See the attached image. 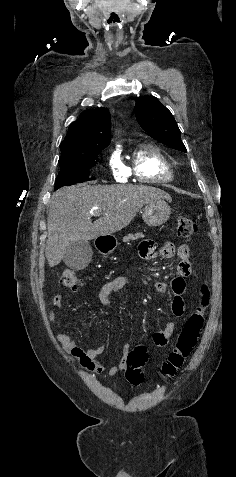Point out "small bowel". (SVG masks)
<instances>
[{
    "label": "small bowel",
    "instance_id": "small-bowel-1",
    "mask_svg": "<svg viewBox=\"0 0 236 477\" xmlns=\"http://www.w3.org/2000/svg\"><path fill=\"white\" fill-rule=\"evenodd\" d=\"M175 255H177L179 259V264L177 268L178 274L171 282V289L173 293L171 309L175 317H182L185 312V303L183 299V295L185 293L184 277L188 276L192 270L189 247L183 244L176 249L173 243L166 242L161 247L157 248L155 243L150 240H145L140 245V256L144 259H153L156 257L170 259ZM128 282L129 280L126 276H117L108 280L103 285L99 293V300L101 304L104 306L111 305L113 296L122 290L128 284ZM153 288L160 296H166L168 287L165 282L156 280L153 282ZM62 301V297L59 294L55 295L52 299V303L55 307H61ZM48 317L51 322L55 321L56 317L53 310L48 311ZM175 328L176 323L172 321L167 323L160 330L156 331L152 337L154 346L157 348L165 347L169 339L172 337ZM57 339L62 347L71 356L78 360L79 364L83 368L98 374L104 371V366L97 360V357L105 350L103 345L94 346L85 350L76 345L68 334L59 333L57 335ZM129 351L130 345L126 344L122 347V356L120 361L117 364L112 365L107 371L109 377H114L119 373V371L126 368Z\"/></svg>",
    "mask_w": 236,
    "mask_h": 477
}]
</instances>
